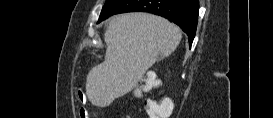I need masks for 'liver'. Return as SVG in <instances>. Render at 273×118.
<instances>
[{"label": "liver", "instance_id": "1", "mask_svg": "<svg viewBox=\"0 0 273 118\" xmlns=\"http://www.w3.org/2000/svg\"><path fill=\"white\" fill-rule=\"evenodd\" d=\"M182 38L168 20L144 12L120 14L105 32L104 61L87 76L86 93L99 107L129 93L158 60L171 55Z\"/></svg>", "mask_w": 273, "mask_h": 118}]
</instances>
